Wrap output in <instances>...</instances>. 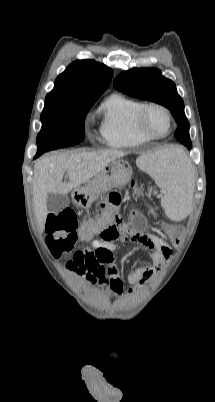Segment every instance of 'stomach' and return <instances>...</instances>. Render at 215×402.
I'll list each match as a JSON object with an SVG mask.
<instances>
[{"label": "stomach", "mask_w": 215, "mask_h": 402, "mask_svg": "<svg viewBox=\"0 0 215 402\" xmlns=\"http://www.w3.org/2000/svg\"><path fill=\"white\" fill-rule=\"evenodd\" d=\"M132 174V167L128 162L116 160L85 186L75 189L72 192L73 203L79 208L88 209L94 201L112 188L126 185Z\"/></svg>", "instance_id": "obj_1"}]
</instances>
